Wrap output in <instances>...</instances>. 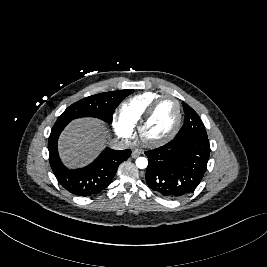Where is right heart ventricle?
Returning <instances> with one entry per match:
<instances>
[{
	"mask_svg": "<svg viewBox=\"0 0 267 267\" xmlns=\"http://www.w3.org/2000/svg\"><path fill=\"white\" fill-rule=\"evenodd\" d=\"M161 95L158 92L148 91L127 99L120 107V118L130 128H135L150 103Z\"/></svg>",
	"mask_w": 267,
	"mask_h": 267,
	"instance_id": "1",
	"label": "right heart ventricle"
}]
</instances>
